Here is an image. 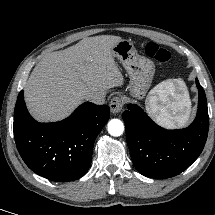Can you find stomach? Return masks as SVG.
I'll list each match as a JSON object with an SVG mask.
<instances>
[{
  "label": "stomach",
  "mask_w": 215,
  "mask_h": 215,
  "mask_svg": "<svg viewBox=\"0 0 215 215\" xmlns=\"http://www.w3.org/2000/svg\"><path fill=\"white\" fill-rule=\"evenodd\" d=\"M112 55L120 60L129 75L130 95L142 99L151 85L155 73L154 63L140 56L133 43L125 39L112 48Z\"/></svg>",
  "instance_id": "obj_1"
}]
</instances>
